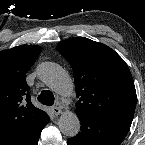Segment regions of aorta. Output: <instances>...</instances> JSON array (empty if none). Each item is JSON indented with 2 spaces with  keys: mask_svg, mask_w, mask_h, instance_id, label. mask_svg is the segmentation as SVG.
<instances>
[{
  "mask_svg": "<svg viewBox=\"0 0 145 145\" xmlns=\"http://www.w3.org/2000/svg\"><path fill=\"white\" fill-rule=\"evenodd\" d=\"M39 78L55 93L68 94L72 89V81L64 70L56 63L45 62L38 69ZM60 131L67 137H74L80 131V120L74 112H64L58 122Z\"/></svg>",
  "mask_w": 145,
  "mask_h": 145,
  "instance_id": "1",
  "label": "aorta"
}]
</instances>
